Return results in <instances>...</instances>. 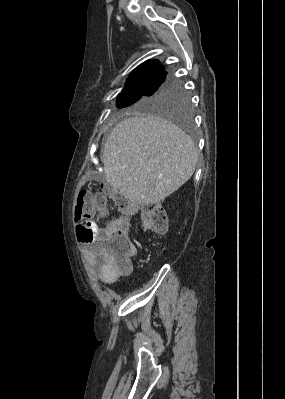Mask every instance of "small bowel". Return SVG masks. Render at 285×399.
<instances>
[{
  "label": "small bowel",
  "mask_w": 285,
  "mask_h": 399,
  "mask_svg": "<svg viewBox=\"0 0 285 399\" xmlns=\"http://www.w3.org/2000/svg\"><path fill=\"white\" fill-rule=\"evenodd\" d=\"M82 225L85 227L86 230H91L94 231L97 229V225L92 223L91 225L83 224ZM86 232H84L85 234ZM137 247H135L136 250ZM88 258L91 261H94L96 259V254L95 250L93 249H88ZM119 276V273L114 269V267L111 265V263L107 260L104 259L103 263L100 266V277L101 280L104 283H111L113 282L117 277Z\"/></svg>",
  "instance_id": "obj_1"
}]
</instances>
